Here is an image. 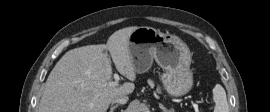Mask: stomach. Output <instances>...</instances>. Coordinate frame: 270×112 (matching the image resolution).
I'll use <instances>...</instances> for the list:
<instances>
[{"label":"stomach","instance_id":"obj_1","mask_svg":"<svg viewBox=\"0 0 270 112\" xmlns=\"http://www.w3.org/2000/svg\"><path fill=\"white\" fill-rule=\"evenodd\" d=\"M129 48L135 72H147L153 60L165 70L161 80L171 96L180 97L192 89L191 53L179 37L138 27L130 35Z\"/></svg>","mask_w":270,"mask_h":112}]
</instances>
